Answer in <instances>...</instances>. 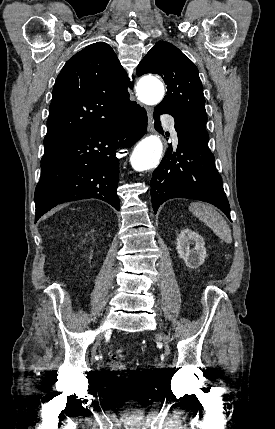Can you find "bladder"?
Masks as SVG:
<instances>
[{
  "label": "bladder",
  "instance_id": "bladder-1",
  "mask_svg": "<svg viewBox=\"0 0 275 429\" xmlns=\"http://www.w3.org/2000/svg\"><path fill=\"white\" fill-rule=\"evenodd\" d=\"M114 383L109 396L120 398L121 403H142L150 396L148 377H116Z\"/></svg>",
  "mask_w": 275,
  "mask_h": 429
}]
</instances>
